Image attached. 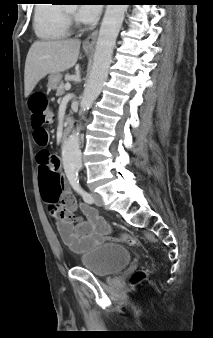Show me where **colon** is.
<instances>
[{
    "mask_svg": "<svg viewBox=\"0 0 213 338\" xmlns=\"http://www.w3.org/2000/svg\"><path fill=\"white\" fill-rule=\"evenodd\" d=\"M29 109L32 113V125L34 128V141L39 147H45L49 144V134L47 130L44 128L45 124L51 123L53 119V112L52 108L48 104V100L46 95L43 92H36L32 94L28 101ZM43 158V152L40 154ZM57 167V166H56ZM43 170V178L48 185L49 191L52 193L56 189L55 181L53 178V173L56 171L55 167L54 170L51 168H44ZM50 213L55 217L58 221L60 218V206L58 203H53L49 207ZM65 218L69 221H74L76 219V215L73 213L67 214ZM117 241L125 243L127 245H134L136 240L131 236H122L116 238ZM146 277V270H140L136 272L132 276L133 283H139L143 281Z\"/></svg>",
    "mask_w": 213,
    "mask_h": 338,
    "instance_id": "colon-1",
    "label": "colon"
}]
</instances>
